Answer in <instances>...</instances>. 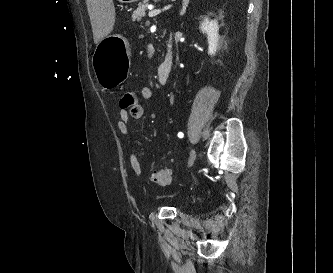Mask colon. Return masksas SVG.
<instances>
[{
  "label": "colon",
  "mask_w": 333,
  "mask_h": 273,
  "mask_svg": "<svg viewBox=\"0 0 333 273\" xmlns=\"http://www.w3.org/2000/svg\"><path fill=\"white\" fill-rule=\"evenodd\" d=\"M137 104V95L134 91H126L122 94L119 100L121 109H129ZM150 180L152 183L159 186H167L172 181V175L168 169L156 170L151 174Z\"/></svg>",
  "instance_id": "obj_1"
}]
</instances>
